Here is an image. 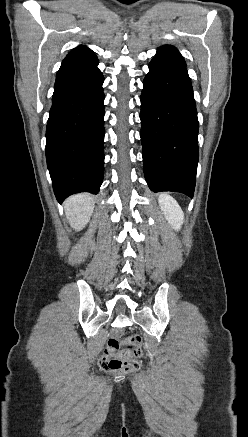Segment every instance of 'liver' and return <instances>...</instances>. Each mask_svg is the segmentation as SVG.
Listing matches in <instances>:
<instances>
[{
    "label": "liver",
    "instance_id": "liver-1",
    "mask_svg": "<svg viewBox=\"0 0 248 437\" xmlns=\"http://www.w3.org/2000/svg\"><path fill=\"white\" fill-rule=\"evenodd\" d=\"M64 208L70 226L74 230L80 231L90 221L94 210V201L89 194H76L65 201Z\"/></svg>",
    "mask_w": 248,
    "mask_h": 437
}]
</instances>
